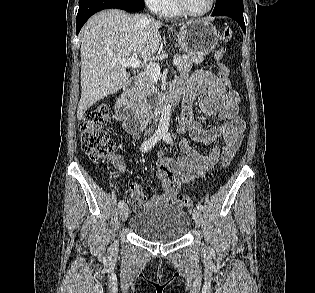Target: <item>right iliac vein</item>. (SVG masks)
<instances>
[{
	"instance_id": "1",
	"label": "right iliac vein",
	"mask_w": 315,
	"mask_h": 293,
	"mask_svg": "<svg viewBox=\"0 0 315 293\" xmlns=\"http://www.w3.org/2000/svg\"><path fill=\"white\" fill-rule=\"evenodd\" d=\"M121 221L127 220L129 216V208L127 206H123L119 212Z\"/></svg>"
}]
</instances>
